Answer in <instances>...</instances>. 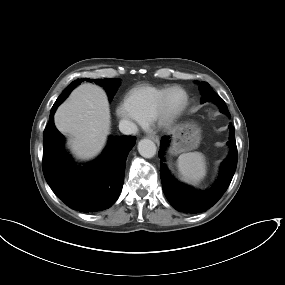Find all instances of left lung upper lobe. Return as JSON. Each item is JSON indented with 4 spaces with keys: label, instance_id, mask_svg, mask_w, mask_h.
Segmentation results:
<instances>
[{
    "label": "left lung upper lobe",
    "instance_id": "left-lung-upper-lobe-1",
    "mask_svg": "<svg viewBox=\"0 0 285 285\" xmlns=\"http://www.w3.org/2000/svg\"><path fill=\"white\" fill-rule=\"evenodd\" d=\"M200 90L202 94V103L208 101L218 102L221 112L225 113L226 115L229 114L228 108L223 99L213 91L207 82L200 83Z\"/></svg>",
    "mask_w": 285,
    "mask_h": 285
}]
</instances>
